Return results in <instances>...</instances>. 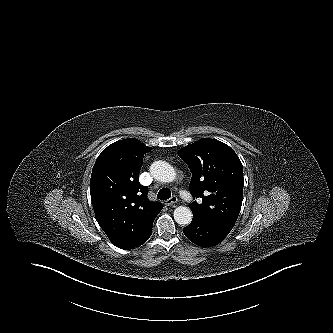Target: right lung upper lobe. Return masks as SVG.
Wrapping results in <instances>:
<instances>
[{
  "label": "right lung upper lobe",
  "instance_id": "1",
  "mask_svg": "<svg viewBox=\"0 0 333 333\" xmlns=\"http://www.w3.org/2000/svg\"><path fill=\"white\" fill-rule=\"evenodd\" d=\"M150 150L133 138L115 142L102 151L92 170L90 194L96 220L121 249L146 242L163 208L147 199V188L138 180L143 156Z\"/></svg>",
  "mask_w": 333,
  "mask_h": 333
}]
</instances>
